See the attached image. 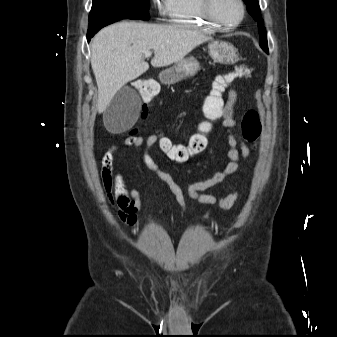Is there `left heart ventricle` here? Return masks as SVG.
<instances>
[{"label":"left heart ventricle","instance_id":"1","mask_svg":"<svg viewBox=\"0 0 337 337\" xmlns=\"http://www.w3.org/2000/svg\"><path fill=\"white\" fill-rule=\"evenodd\" d=\"M214 13L219 20L225 23H234L241 16L237 0H215Z\"/></svg>","mask_w":337,"mask_h":337}]
</instances>
